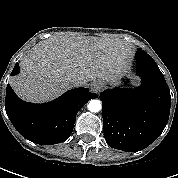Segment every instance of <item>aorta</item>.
I'll return each mask as SVG.
<instances>
[{
  "mask_svg": "<svg viewBox=\"0 0 178 178\" xmlns=\"http://www.w3.org/2000/svg\"><path fill=\"white\" fill-rule=\"evenodd\" d=\"M101 107V102L98 99H93L88 104L89 111L94 113L99 112L101 110Z\"/></svg>",
  "mask_w": 178,
  "mask_h": 178,
  "instance_id": "obj_1",
  "label": "aorta"
}]
</instances>
